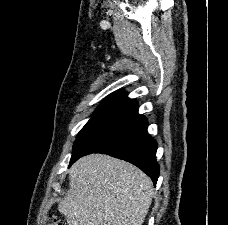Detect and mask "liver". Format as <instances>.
Wrapping results in <instances>:
<instances>
[{"label":"liver","instance_id":"1","mask_svg":"<svg viewBox=\"0 0 228 225\" xmlns=\"http://www.w3.org/2000/svg\"><path fill=\"white\" fill-rule=\"evenodd\" d=\"M68 173L69 191L58 205L68 225H143L154 189L140 169L108 155H87Z\"/></svg>","mask_w":228,"mask_h":225}]
</instances>
